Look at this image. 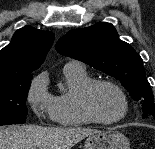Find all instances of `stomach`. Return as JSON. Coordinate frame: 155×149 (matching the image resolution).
I'll return each mask as SVG.
<instances>
[{
    "mask_svg": "<svg viewBox=\"0 0 155 149\" xmlns=\"http://www.w3.org/2000/svg\"><path fill=\"white\" fill-rule=\"evenodd\" d=\"M84 149H130V143L121 132L109 129L89 135Z\"/></svg>",
    "mask_w": 155,
    "mask_h": 149,
    "instance_id": "stomach-1",
    "label": "stomach"
}]
</instances>
